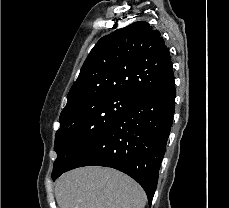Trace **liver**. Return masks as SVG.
Wrapping results in <instances>:
<instances>
[{
  "mask_svg": "<svg viewBox=\"0 0 229 208\" xmlns=\"http://www.w3.org/2000/svg\"><path fill=\"white\" fill-rule=\"evenodd\" d=\"M59 208H145L147 196L132 178L112 168H77L55 186Z\"/></svg>",
  "mask_w": 229,
  "mask_h": 208,
  "instance_id": "obj_1",
  "label": "liver"
}]
</instances>
